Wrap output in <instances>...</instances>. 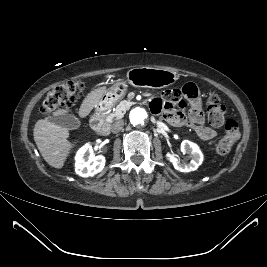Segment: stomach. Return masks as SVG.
I'll return each mask as SVG.
<instances>
[{"label":"stomach","instance_id":"stomach-1","mask_svg":"<svg viewBox=\"0 0 267 267\" xmlns=\"http://www.w3.org/2000/svg\"><path fill=\"white\" fill-rule=\"evenodd\" d=\"M179 79L178 73L170 70L152 67H134L127 72L126 79H118L112 86L105 90L95 111L101 113L113 107L122 99L128 89V85L134 87L164 88L172 85Z\"/></svg>","mask_w":267,"mask_h":267}]
</instances>
